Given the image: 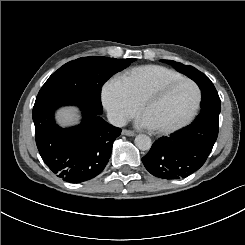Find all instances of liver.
<instances>
[{
  "mask_svg": "<svg viewBox=\"0 0 245 245\" xmlns=\"http://www.w3.org/2000/svg\"><path fill=\"white\" fill-rule=\"evenodd\" d=\"M53 120L59 129L76 128L84 121V113L78 104H63L53 111Z\"/></svg>",
  "mask_w": 245,
  "mask_h": 245,
  "instance_id": "obj_1",
  "label": "liver"
}]
</instances>
